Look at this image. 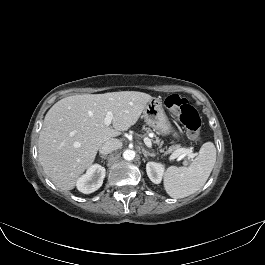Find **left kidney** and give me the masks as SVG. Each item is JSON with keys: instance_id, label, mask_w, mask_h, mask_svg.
I'll return each mask as SVG.
<instances>
[{"instance_id": "5707ae66", "label": "left kidney", "mask_w": 265, "mask_h": 265, "mask_svg": "<svg viewBox=\"0 0 265 265\" xmlns=\"http://www.w3.org/2000/svg\"><path fill=\"white\" fill-rule=\"evenodd\" d=\"M146 172L153 183L159 184L163 177L164 166L161 163L148 162L146 164Z\"/></svg>"}]
</instances>
